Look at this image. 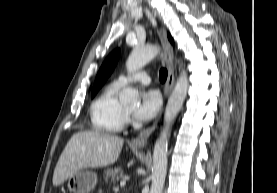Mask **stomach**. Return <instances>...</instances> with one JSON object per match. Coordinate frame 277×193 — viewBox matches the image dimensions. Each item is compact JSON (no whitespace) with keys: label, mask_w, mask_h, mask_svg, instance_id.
Listing matches in <instances>:
<instances>
[{"label":"stomach","mask_w":277,"mask_h":193,"mask_svg":"<svg viewBox=\"0 0 277 193\" xmlns=\"http://www.w3.org/2000/svg\"><path fill=\"white\" fill-rule=\"evenodd\" d=\"M97 183V175L92 171H80L68 179V189L72 193H90Z\"/></svg>","instance_id":"0dacf381"}]
</instances>
